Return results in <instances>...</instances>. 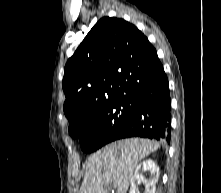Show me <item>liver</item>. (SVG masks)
Wrapping results in <instances>:
<instances>
[{
    "instance_id": "1",
    "label": "liver",
    "mask_w": 221,
    "mask_h": 193,
    "mask_svg": "<svg viewBox=\"0 0 221 193\" xmlns=\"http://www.w3.org/2000/svg\"><path fill=\"white\" fill-rule=\"evenodd\" d=\"M159 147L156 141L138 138L103 147L88 159L80 193H127L138 163Z\"/></svg>"
}]
</instances>
